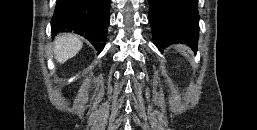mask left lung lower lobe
<instances>
[{"instance_id":"obj_1","label":"left lung lower lobe","mask_w":257,"mask_h":130,"mask_svg":"<svg viewBox=\"0 0 257 130\" xmlns=\"http://www.w3.org/2000/svg\"><path fill=\"white\" fill-rule=\"evenodd\" d=\"M149 21L157 47L183 43L197 50L199 15L197 0H148ZM162 51L161 49H159Z\"/></svg>"}]
</instances>
